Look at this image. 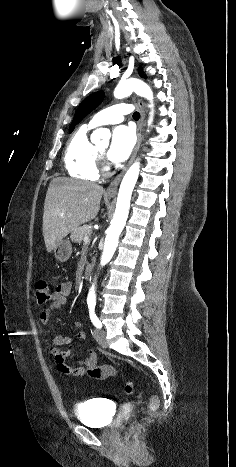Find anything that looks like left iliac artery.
<instances>
[{"label": "left iliac artery", "instance_id": "1", "mask_svg": "<svg viewBox=\"0 0 236 467\" xmlns=\"http://www.w3.org/2000/svg\"><path fill=\"white\" fill-rule=\"evenodd\" d=\"M95 306H96L95 302H88L89 315H90L91 322L94 324L95 327L100 329L102 328V324L99 318L95 314Z\"/></svg>", "mask_w": 236, "mask_h": 467}]
</instances>
